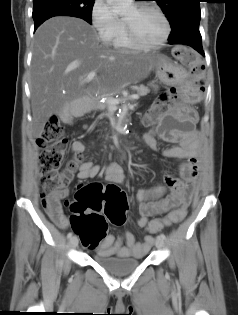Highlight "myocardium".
<instances>
[{"label":"myocardium","mask_w":238,"mask_h":315,"mask_svg":"<svg viewBox=\"0 0 238 315\" xmlns=\"http://www.w3.org/2000/svg\"><path fill=\"white\" fill-rule=\"evenodd\" d=\"M135 10L137 12L142 11H153L156 14L159 15V17L162 19L164 26H165V33L162 37V39L156 43L153 44H147L142 41H140L137 36L135 35L133 26L130 21L124 19L125 29H126V35L129 43L136 49L140 50H153L157 49L161 46H163L169 39L171 34V24L165 13L157 6L151 5V4H138L135 6Z\"/></svg>","instance_id":"obj_1"}]
</instances>
